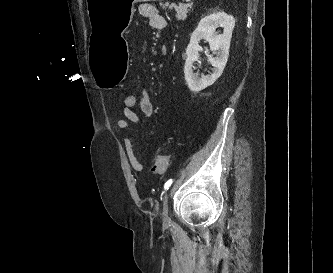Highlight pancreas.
<instances>
[{"label": "pancreas", "mask_w": 333, "mask_h": 273, "mask_svg": "<svg viewBox=\"0 0 333 273\" xmlns=\"http://www.w3.org/2000/svg\"><path fill=\"white\" fill-rule=\"evenodd\" d=\"M163 8L169 7L170 10L174 9L176 11V18L178 20H185L187 18V13L189 12V9L192 7L191 4H183L180 3L178 6L175 4H164L162 5Z\"/></svg>", "instance_id": "cf45deb5"}]
</instances>
